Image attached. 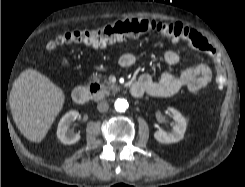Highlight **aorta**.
Here are the masks:
<instances>
[{
  "label": "aorta",
  "instance_id": "1",
  "mask_svg": "<svg viewBox=\"0 0 245 187\" xmlns=\"http://www.w3.org/2000/svg\"><path fill=\"white\" fill-rule=\"evenodd\" d=\"M128 102L127 100L125 99H117L115 101V109L118 111V112H125L126 109L128 108Z\"/></svg>",
  "mask_w": 245,
  "mask_h": 187
}]
</instances>
